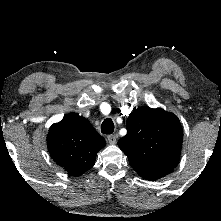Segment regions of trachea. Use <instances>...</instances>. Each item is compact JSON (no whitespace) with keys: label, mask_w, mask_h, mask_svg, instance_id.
<instances>
[{"label":"trachea","mask_w":221,"mask_h":221,"mask_svg":"<svg viewBox=\"0 0 221 221\" xmlns=\"http://www.w3.org/2000/svg\"><path fill=\"white\" fill-rule=\"evenodd\" d=\"M114 131V123L111 118L105 119L101 124V132L103 134H112Z\"/></svg>","instance_id":"1"}]
</instances>
